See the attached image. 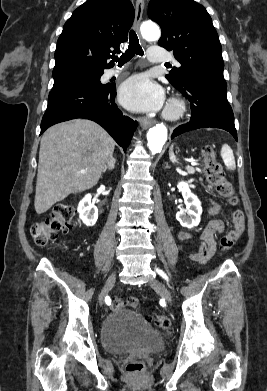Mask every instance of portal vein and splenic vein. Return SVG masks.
Here are the masks:
<instances>
[{
    "mask_svg": "<svg viewBox=\"0 0 267 391\" xmlns=\"http://www.w3.org/2000/svg\"><path fill=\"white\" fill-rule=\"evenodd\" d=\"M188 161L190 162V164H191L192 166L197 165V163H196L194 160L189 159ZM83 172H85V171H83Z\"/></svg>",
    "mask_w": 267,
    "mask_h": 391,
    "instance_id": "18ae733b",
    "label": "portal vein and splenic vein"
}]
</instances>
